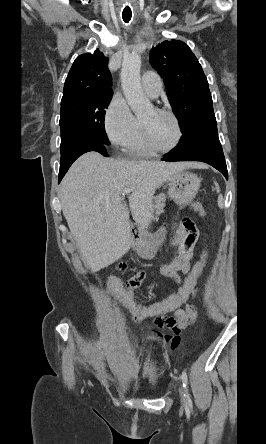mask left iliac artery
I'll use <instances>...</instances> for the list:
<instances>
[{
    "instance_id": "44dca946",
    "label": "left iliac artery",
    "mask_w": 266,
    "mask_h": 444,
    "mask_svg": "<svg viewBox=\"0 0 266 444\" xmlns=\"http://www.w3.org/2000/svg\"><path fill=\"white\" fill-rule=\"evenodd\" d=\"M181 378H182L183 387L185 390L186 400L188 403H191L190 395L188 393V377H187V373L185 371H183Z\"/></svg>"
}]
</instances>
